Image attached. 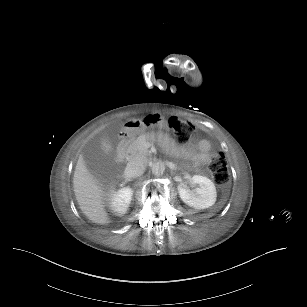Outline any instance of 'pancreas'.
Wrapping results in <instances>:
<instances>
[{"label":"pancreas","instance_id":"pancreas-1","mask_svg":"<svg viewBox=\"0 0 307 307\" xmlns=\"http://www.w3.org/2000/svg\"><path fill=\"white\" fill-rule=\"evenodd\" d=\"M146 142H147V139H146V134H142L140 135L133 143H132V146H134L136 149H132L131 150V153L134 154L136 152H141V153H147V150L145 148L146 146Z\"/></svg>","mask_w":307,"mask_h":307}]
</instances>
